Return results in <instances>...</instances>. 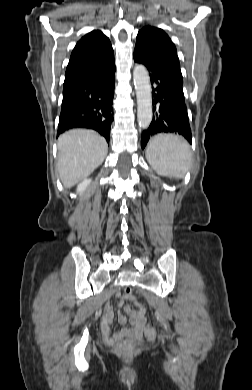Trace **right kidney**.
<instances>
[{
  "instance_id": "ca27d5eb",
  "label": "right kidney",
  "mask_w": 252,
  "mask_h": 390,
  "mask_svg": "<svg viewBox=\"0 0 252 390\" xmlns=\"http://www.w3.org/2000/svg\"><path fill=\"white\" fill-rule=\"evenodd\" d=\"M90 183H91V179H84L82 182L78 184L77 191L78 192L84 191L89 186Z\"/></svg>"
}]
</instances>
